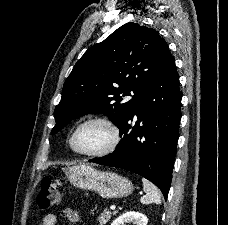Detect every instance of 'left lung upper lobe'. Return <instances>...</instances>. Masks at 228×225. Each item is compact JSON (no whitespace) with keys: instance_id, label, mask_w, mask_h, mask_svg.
<instances>
[{"instance_id":"5c2ea615","label":"left lung upper lobe","mask_w":228,"mask_h":225,"mask_svg":"<svg viewBox=\"0 0 228 225\" xmlns=\"http://www.w3.org/2000/svg\"><path fill=\"white\" fill-rule=\"evenodd\" d=\"M172 57L159 32L126 23L85 52L66 79L54 110L55 134L73 118L104 113L118 127ZM134 96L123 101L122 96Z\"/></svg>"}]
</instances>
